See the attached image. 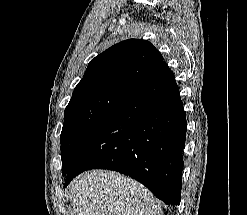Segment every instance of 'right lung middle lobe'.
<instances>
[{"label":"right lung middle lobe","mask_w":247,"mask_h":215,"mask_svg":"<svg viewBox=\"0 0 247 215\" xmlns=\"http://www.w3.org/2000/svg\"><path fill=\"white\" fill-rule=\"evenodd\" d=\"M130 91L128 88H104L73 93L65 109L60 136L63 175L69 170L72 153L81 137L113 111Z\"/></svg>","instance_id":"right-lung-middle-lobe-1"}]
</instances>
